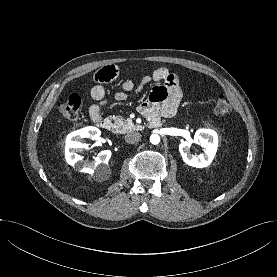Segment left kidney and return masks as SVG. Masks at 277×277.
Wrapping results in <instances>:
<instances>
[{
	"mask_svg": "<svg viewBox=\"0 0 277 277\" xmlns=\"http://www.w3.org/2000/svg\"><path fill=\"white\" fill-rule=\"evenodd\" d=\"M194 142L205 148V152L195 156L191 154L190 148L192 142H182L179 145V152L183 161L189 166L204 168L211 164L218 147L217 133L211 129H199L194 136Z\"/></svg>",
	"mask_w": 277,
	"mask_h": 277,
	"instance_id": "left-kidney-1",
	"label": "left kidney"
}]
</instances>
